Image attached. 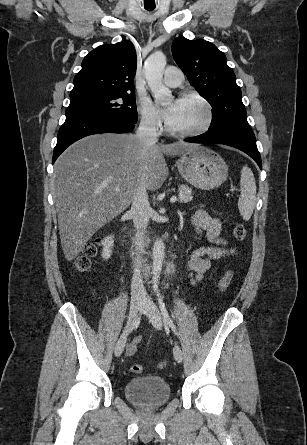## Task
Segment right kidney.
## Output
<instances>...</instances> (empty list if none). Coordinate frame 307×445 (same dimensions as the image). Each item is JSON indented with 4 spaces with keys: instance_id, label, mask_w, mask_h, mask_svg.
I'll list each match as a JSON object with an SVG mask.
<instances>
[{
    "instance_id": "ca27d5eb",
    "label": "right kidney",
    "mask_w": 307,
    "mask_h": 445,
    "mask_svg": "<svg viewBox=\"0 0 307 445\" xmlns=\"http://www.w3.org/2000/svg\"><path fill=\"white\" fill-rule=\"evenodd\" d=\"M114 239L113 237H105L103 241L104 249L102 251L103 259H110L111 257V249L113 247Z\"/></svg>"
}]
</instances>
